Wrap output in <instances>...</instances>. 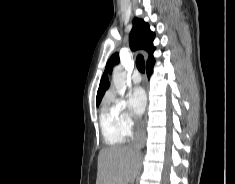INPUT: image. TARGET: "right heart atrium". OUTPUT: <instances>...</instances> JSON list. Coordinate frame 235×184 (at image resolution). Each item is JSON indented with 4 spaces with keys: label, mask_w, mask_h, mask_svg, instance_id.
Here are the masks:
<instances>
[{
    "label": "right heart atrium",
    "mask_w": 235,
    "mask_h": 184,
    "mask_svg": "<svg viewBox=\"0 0 235 184\" xmlns=\"http://www.w3.org/2000/svg\"><path fill=\"white\" fill-rule=\"evenodd\" d=\"M106 104L113 110L116 125L124 138H131L142 131L141 124L137 123L130 114L124 99L113 94L106 97Z\"/></svg>",
    "instance_id": "right-heart-atrium-1"
}]
</instances>
